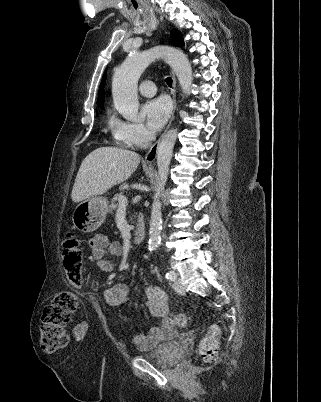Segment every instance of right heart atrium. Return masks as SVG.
I'll return each instance as SVG.
<instances>
[{
  "label": "right heart atrium",
  "instance_id": "right-heart-atrium-1",
  "mask_svg": "<svg viewBox=\"0 0 321 402\" xmlns=\"http://www.w3.org/2000/svg\"><path fill=\"white\" fill-rule=\"evenodd\" d=\"M125 139L128 145L141 148L148 144L151 139V134L142 124L127 123Z\"/></svg>",
  "mask_w": 321,
  "mask_h": 402
}]
</instances>
